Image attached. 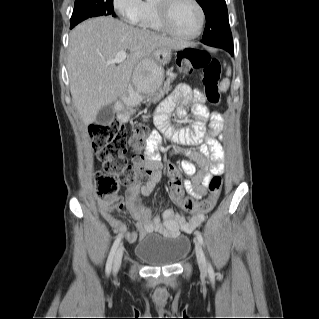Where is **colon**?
Segmentation results:
<instances>
[{"label":"colon","mask_w":319,"mask_h":319,"mask_svg":"<svg viewBox=\"0 0 319 319\" xmlns=\"http://www.w3.org/2000/svg\"><path fill=\"white\" fill-rule=\"evenodd\" d=\"M177 66L182 71L202 69L205 98L211 104L220 102L218 85L221 64L218 59L212 58L204 50L189 47L179 52ZM149 130L147 124H137L133 128L132 136L128 138L124 125L116 121L95 124L91 127L93 148L103 162V169L96 173L98 195L104 200L110 198L105 205L106 212L112 214L123 208L124 202L118 196L119 186L132 185L149 176L151 171L147 165V157L141 149L148 145L158 147L157 144L149 143L147 138ZM128 145L136 150L133 156L128 154ZM183 182L180 177H175L170 182V194L185 210L193 211L197 208L199 212L205 214L214 208L223 185L220 175L210 179L208 184L210 197L201 203L183 196L179 190Z\"/></svg>","instance_id":"5ec220e1"}]
</instances>
